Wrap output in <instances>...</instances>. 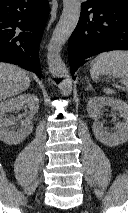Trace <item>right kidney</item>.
<instances>
[{
    "mask_svg": "<svg viewBox=\"0 0 128 213\" xmlns=\"http://www.w3.org/2000/svg\"><path fill=\"white\" fill-rule=\"evenodd\" d=\"M28 107V117L17 122L13 116L7 117L6 113L19 111L23 107ZM39 99L36 95L25 93L14 98H10L0 103V140L9 145H17L24 141L32 132V118L38 112ZM17 129V131H15Z\"/></svg>",
    "mask_w": 128,
    "mask_h": 213,
    "instance_id": "ca27d5eb",
    "label": "right kidney"
}]
</instances>
